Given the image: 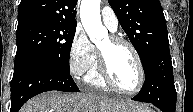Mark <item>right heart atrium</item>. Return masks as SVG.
<instances>
[{"instance_id":"obj_1","label":"right heart atrium","mask_w":193,"mask_h":112,"mask_svg":"<svg viewBox=\"0 0 193 112\" xmlns=\"http://www.w3.org/2000/svg\"><path fill=\"white\" fill-rule=\"evenodd\" d=\"M95 60L94 46L86 34L81 29H77L72 37L68 53V66L71 74L75 77L85 76Z\"/></svg>"}]
</instances>
